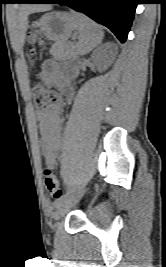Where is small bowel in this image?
Masks as SVG:
<instances>
[{
    "instance_id": "c3829d8e",
    "label": "small bowel",
    "mask_w": 166,
    "mask_h": 267,
    "mask_svg": "<svg viewBox=\"0 0 166 267\" xmlns=\"http://www.w3.org/2000/svg\"><path fill=\"white\" fill-rule=\"evenodd\" d=\"M76 75V70L68 68L65 72L56 60L48 59L43 63L39 74L40 79L49 86L58 88L69 101L73 96L70 79ZM39 124L41 151L46 164L54 168L62 144L63 121L60 116V106L53 105L45 110L35 112Z\"/></svg>"
}]
</instances>
